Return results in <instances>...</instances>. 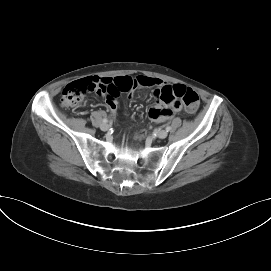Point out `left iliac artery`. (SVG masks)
<instances>
[{"instance_id":"left-iliac-artery-1","label":"left iliac artery","mask_w":271,"mask_h":271,"mask_svg":"<svg viewBox=\"0 0 271 271\" xmlns=\"http://www.w3.org/2000/svg\"><path fill=\"white\" fill-rule=\"evenodd\" d=\"M171 130V127L170 126H167L166 127V131L169 132Z\"/></svg>"}]
</instances>
